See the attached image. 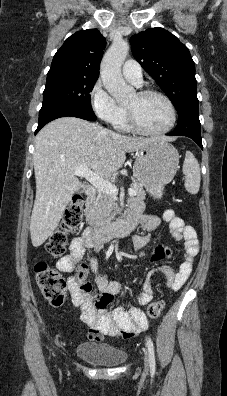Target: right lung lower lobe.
<instances>
[{
  "mask_svg": "<svg viewBox=\"0 0 227 396\" xmlns=\"http://www.w3.org/2000/svg\"><path fill=\"white\" fill-rule=\"evenodd\" d=\"M66 116L77 117L88 121H95L97 119L96 116L89 115L76 106L69 104H55L41 108L39 112L38 127L35 134L48 122Z\"/></svg>",
  "mask_w": 227,
  "mask_h": 396,
  "instance_id": "obj_1",
  "label": "right lung lower lobe"
}]
</instances>
